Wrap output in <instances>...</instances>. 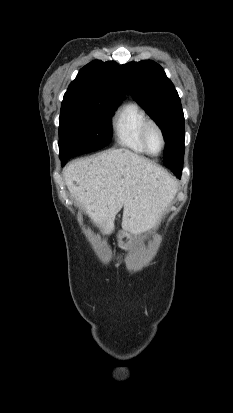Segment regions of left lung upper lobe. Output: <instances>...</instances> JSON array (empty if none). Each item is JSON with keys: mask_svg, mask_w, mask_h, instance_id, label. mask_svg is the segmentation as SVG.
<instances>
[{"mask_svg": "<svg viewBox=\"0 0 233 413\" xmlns=\"http://www.w3.org/2000/svg\"><path fill=\"white\" fill-rule=\"evenodd\" d=\"M128 91L157 122L166 141L164 165L183 166L184 115L178 93L163 68L152 60L122 65Z\"/></svg>", "mask_w": 233, "mask_h": 413, "instance_id": "1", "label": "left lung upper lobe"}]
</instances>
